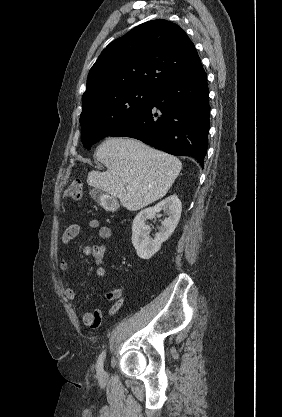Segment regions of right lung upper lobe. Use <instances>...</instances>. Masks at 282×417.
<instances>
[{
    "label": "right lung upper lobe",
    "mask_w": 282,
    "mask_h": 417,
    "mask_svg": "<svg viewBox=\"0 0 282 417\" xmlns=\"http://www.w3.org/2000/svg\"><path fill=\"white\" fill-rule=\"evenodd\" d=\"M200 65L193 42L178 25L166 20L148 21L102 51L89 71L82 101L133 87L156 90Z\"/></svg>",
    "instance_id": "1"
}]
</instances>
